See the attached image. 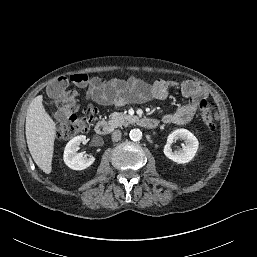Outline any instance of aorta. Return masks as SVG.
Returning a JSON list of instances; mask_svg holds the SVG:
<instances>
[{"label":"aorta","instance_id":"obj_1","mask_svg":"<svg viewBox=\"0 0 257 257\" xmlns=\"http://www.w3.org/2000/svg\"><path fill=\"white\" fill-rule=\"evenodd\" d=\"M131 140L139 141L142 138V132L140 129H132L129 134Z\"/></svg>","mask_w":257,"mask_h":257}]
</instances>
